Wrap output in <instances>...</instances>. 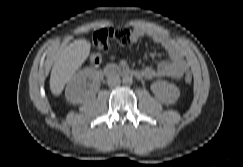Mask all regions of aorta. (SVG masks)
I'll return each mask as SVG.
<instances>
[{"instance_id": "762f6f07", "label": "aorta", "mask_w": 243, "mask_h": 167, "mask_svg": "<svg viewBox=\"0 0 243 167\" xmlns=\"http://www.w3.org/2000/svg\"><path fill=\"white\" fill-rule=\"evenodd\" d=\"M122 82L125 85H131L133 83V78L129 74H125L122 78Z\"/></svg>"}]
</instances>
